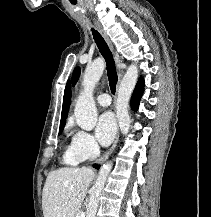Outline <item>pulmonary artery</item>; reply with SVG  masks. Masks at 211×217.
I'll list each match as a JSON object with an SVG mask.
<instances>
[{
	"mask_svg": "<svg viewBox=\"0 0 211 217\" xmlns=\"http://www.w3.org/2000/svg\"><path fill=\"white\" fill-rule=\"evenodd\" d=\"M96 100L102 107H107L111 104V97L106 93L98 95Z\"/></svg>",
	"mask_w": 211,
	"mask_h": 217,
	"instance_id": "1",
	"label": "pulmonary artery"
}]
</instances>
